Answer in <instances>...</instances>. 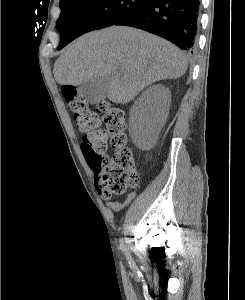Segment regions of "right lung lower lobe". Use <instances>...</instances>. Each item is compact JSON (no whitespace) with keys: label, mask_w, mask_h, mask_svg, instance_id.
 <instances>
[{"label":"right lung lower lobe","mask_w":245,"mask_h":300,"mask_svg":"<svg viewBox=\"0 0 245 300\" xmlns=\"http://www.w3.org/2000/svg\"><path fill=\"white\" fill-rule=\"evenodd\" d=\"M199 0H149L114 25L139 28L193 53L199 24Z\"/></svg>","instance_id":"98d812e1"}]
</instances>
